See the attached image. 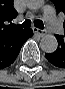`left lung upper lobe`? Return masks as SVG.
Wrapping results in <instances>:
<instances>
[{"label":"left lung upper lobe","mask_w":65,"mask_h":89,"mask_svg":"<svg viewBox=\"0 0 65 89\" xmlns=\"http://www.w3.org/2000/svg\"><path fill=\"white\" fill-rule=\"evenodd\" d=\"M55 5L57 13L63 12L65 14V0H52ZM64 31H65V22H64Z\"/></svg>","instance_id":"obj_1"}]
</instances>
